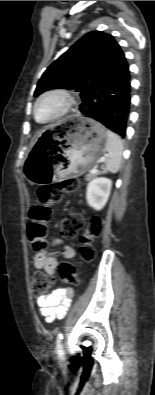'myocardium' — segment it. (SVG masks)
I'll return each instance as SVG.
<instances>
[{"label":"myocardium","mask_w":155,"mask_h":395,"mask_svg":"<svg viewBox=\"0 0 155 395\" xmlns=\"http://www.w3.org/2000/svg\"><path fill=\"white\" fill-rule=\"evenodd\" d=\"M46 101H54L57 104L55 111L45 119L38 117V109L40 105ZM75 104V99L72 94L61 88L50 89L40 94L35 100L32 108V116L36 123L41 125H48L55 123L64 118Z\"/></svg>","instance_id":"1"}]
</instances>
